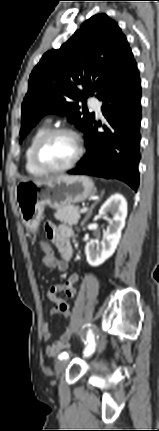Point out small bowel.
I'll return each mask as SVG.
<instances>
[{
	"label": "small bowel",
	"instance_id": "c3829d8e",
	"mask_svg": "<svg viewBox=\"0 0 159 431\" xmlns=\"http://www.w3.org/2000/svg\"><path fill=\"white\" fill-rule=\"evenodd\" d=\"M45 233L48 239L54 245L59 258H57L54 253L52 259L49 260L44 254L41 261L42 264L45 267L54 268L59 272H65L68 269V262L72 257V248L69 242V238L73 236L72 228L68 225L56 226L52 223H47L45 226ZM78 279V274L73 273L66 279L64 283L54 284L48 287L47 297L53 303V306L49 311L50 315L61 314L64 316L65 310H69L70 312L69 303L60 297V293H65L67 297L74 298L77 293L75 284L77 283ZM42 330L43 339L45 341L50 340L51 333L49 330V324L44 323ZM70 338L71 335L69 332L63 333L59 340L46 346L45 353L50 357L57 356L60 352L69 347Z\"/></svg>",
	"mask_w": 159,
	"mask_h": 431
}]
</instances>
